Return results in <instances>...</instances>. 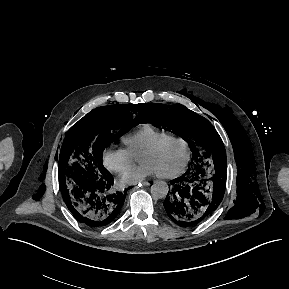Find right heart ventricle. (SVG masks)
Masks as SVG:
<instances>
[{
	"mask_svg": "<svg viewBox=\"0 0 289 289\" xmlns=\"http://www.w3.org/2000/svg\"><path fill=\"white\" fill-rule=\"evenodd\" d=\"M171 134L150 124H144L135 130L126 133L122 137V143L134 155L137 156L142 150L157 142L159 139Z\"/></svg>",
	"mask_w": 289,
	"mask_h": 289,
	"instance_id": "right-heart-ventricle-1",
	"label": "right heart ventricle"
}]
</instances>
